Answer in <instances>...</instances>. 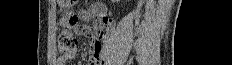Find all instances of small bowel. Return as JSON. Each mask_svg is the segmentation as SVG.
Wrapping results in <instances>:
<instances>
[{
    "instance_id": "small-bowel-1",
    "label": "small bowel",
    "mask_w": 232,
    "mask_h": 65,
    "mask_svg": "<svg viewBox=\"0 0 232 65\" xmlns=\"http://www.w3.org/2000/svg\"><path fill=\"white\" fill-rule=\"evenodd\" d=\"M91 17L95 18V26L88 29H79V34H90L93 39V44L90 50V58L87 64L100 65L104 29H109L112 22L101 6H94L90 11H84L80 14V18L83 20H89ZM76 20L77 15H74V12H64L62 20L63 28H74ZM75 56V50L61 55L57 59V65H66L67 62L74 59Z\"/></svg>"
}]
</instances>
